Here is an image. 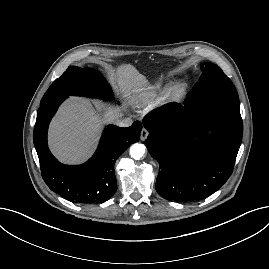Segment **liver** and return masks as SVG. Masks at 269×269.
<instances>
[{"instance_id":"liver-1","label":"liver","mask_w":269,"mask_h":269,"mask_svg":"<svg viewBox=\"0 0 269 269\" xmlns=\"http://www.w3.org/2000/svg\"><path fill=\"white\" fill-rule=\"evenodd\" d=\"M112 80L127 96L150 89L146 77L130 64L118 67L112 73ZM95 108L76 97L60 107L50 125L49 145L61 162L74 164L85 161L96 147L102 124L116 122L122 116L120 109L105 108L99 103L95 104ZM101 110L104 115L99 113Z\"/></svg>"}]
</instances>
